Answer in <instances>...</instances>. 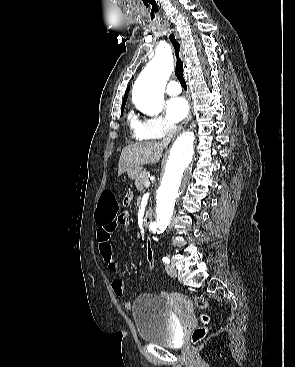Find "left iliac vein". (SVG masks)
<instances>
[{
  "mask_svg": "<svg viewBox=\"0 0 295 367\" xmlns=\"http://www.w3.org/2000/svg\"><path fill=\"white\" fill-rule=\"evenodd\" d=\"M166 271L167 273L171 276V277H177L178 276V271L177 269L172 266V265H167L166 266Z\"/></svg>",
  "mask_w": 295,
  "mask_h": 367,
  "instance_id": "4c4485c4",
  "label": "left iliac vein"
}]
</instances>
